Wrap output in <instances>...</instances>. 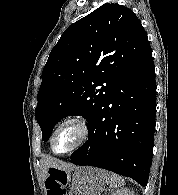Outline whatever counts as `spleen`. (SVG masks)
<instances>
[{
    "instance_id": "obj_1",
    "label": "spleen",
    "mask_w": 178,
    "mask_h": 195,
    "mask_svg": "<svg viewBox=\"0 0 178 195\" xmlns=\"http://www.w3.org/2000/svg\"><path fill=\"white\" fill-rule=\"evenodd\" d=\"M100 172L104 176L105 181L110 186V188H119L124 186L125 181L121 176L105 170H100Z\"/></svg>"
}]
</instances>
